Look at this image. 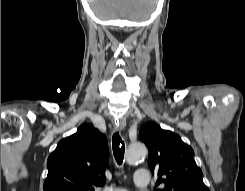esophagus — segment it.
I'll return each instance as SVG.
<instances>
[{
	"mask_svg": "<svg viewBox=\"0 0 245 191\" xmlns=\"http://www.w3.org/2000/svg\"><path fill=\"white\" fill-rule=\"evenodd\" d=\"M115 126L120 129H124L126 126V119L121 117L118 121H115Z\"/></svg>",
	"mask_w": 245,
	"mask_h": 191,
	"instance_id": "obj_1",
	"label": "esophagus"
}]
</instances>
